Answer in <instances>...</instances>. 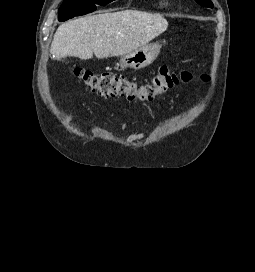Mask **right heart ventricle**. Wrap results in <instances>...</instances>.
Returning <instances> with one entry per match:
<instances>
[{
  "instance_id": "right-heart-ventricle-1",
  "label": "right heart ventricle",
  "mask_w": 255,
  "mask_h": 272,
  "mask_svg": "<svg viewBox=\"0 0 255 272\" xmlns=\"http://www.w3.org/2000/svg\"><path fill=\"white\" fill-rule=\"evenodd\" d=\"M161 6H166L167 5V3L166 2H161V4H160Z\"/></svg>"
}]
</instances>
